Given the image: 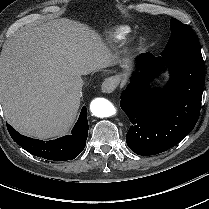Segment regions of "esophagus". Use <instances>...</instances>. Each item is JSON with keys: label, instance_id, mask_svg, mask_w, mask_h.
<instances>
[{"label": "esophagus", "instance_id": "obj_1", "mask_svg": "<svg viewBox=\"0 0 209 209\" xmlns=\"http://www.w3.org/2000/svg\"><path fill=\"white\" fill-rule=\"evenodd\" d=\"M118 84L119 81L117 77L115 76L107 77L101 85V90L104 93H111L117 88Z\"/></svg>", "mask_w": 209, "mask_h": 209}]
</instances>
